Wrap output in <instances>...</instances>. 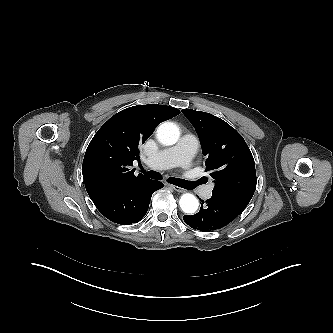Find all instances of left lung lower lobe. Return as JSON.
Segmentation results:
<instances>
[{
    "instance_id": "obj_1",
    "label": "left lung lower lobe",
    "mask_w": 333,
    "mask_h": 333,
    "mask_svg": "<svg viewBox=\"0 0 333 333\" xmlns=\"http://www.w3.org/2000/svg\"><path fill=\"white\" fill-rule=\"evenodd\" d=\"M243 211L223 201L215 195L204 203L195 215H184V222L193 229L213 231L224 227Z\"/></svg>"
}]
</instances>
